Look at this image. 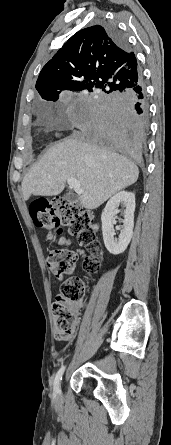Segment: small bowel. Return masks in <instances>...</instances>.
I'll return each instance as SVG.
<instances>
[{
  "instance_id": "1",
  "label": "small bowel",
  "mask_w": 171,
  "mask_h": 445,
  "mask_svg": "<svg viewBox=\"0 0 171 445\" xmlns=\"http://www.w3.org/2000/svg\"><path fill=\"white\" fill-rule=\"evenodd\" d=\"M67 242H68V240H67L66 237H61V238L58 240L57 243H58V245H60V246H64V245L67 244ZM77 253H78L80 256L84 257V252H83V251L78 250Z\"/></svg>"
}]
</instances>
